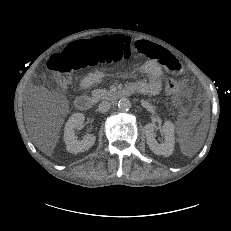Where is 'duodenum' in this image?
<instances>
[{"instance_id": "duodenum-1", "label": "duodenum", "mask_w": 231, "mask_h": 231, "mask_svg": "<svg viewBox=\"0 0 231 231\" xmlns=\"http://www.w3.org/2000/svg\"><path fill=\"white\" fill-rule=\"evenodd\" d=\"M133 92L134 88L129 85L123 89L113 92L110 95V98L114 100H119L121 98L130 96ZM75 104L79 110L88 111L93 107L94 99L90 96H79L77 97Z\"/></svg>"}]
</instances>
